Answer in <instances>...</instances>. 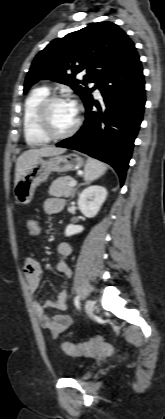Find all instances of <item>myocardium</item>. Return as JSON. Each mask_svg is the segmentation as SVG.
I'll return each mask as SVG.
<instances>
[{"instance_id": "1", "label": "myocardium", "mask_w": 165, "mask_h": 419, "mask_svg": "<svg viewBox=\"0 0 165 419\" xmlns=\"http://www.w3.org/2000/svg\"><path fill=\"white\" fill-rule=\"evenodd\" d=\"M70 102V99L62 95H49L44 98L38 105L36 110V122L40 132L49 140H63L71 137L78 130L81 124L80 109L77 107V118L73 126L64 133H55L52 130L49 111L51 106L57 102Z\"/></svg>"}]
</instances>
